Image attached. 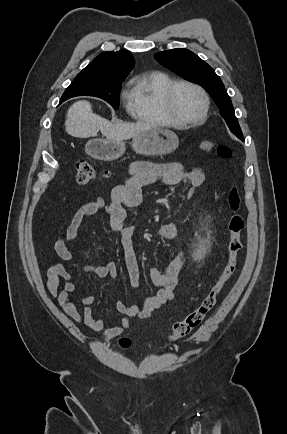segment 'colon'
I'll use <instances>...</instances> for the list:
<instances>
[{
  "mask_svg": "<svg viewBox=\"0 0 287 434\" xmlns=\"http://www.w3.org/2000/svg\"><path fill=\"white\" fill-rule=\"evenodd\" d=\"M200 148L203 152L216 153L221 157H229L231 154L228 147L218 145L210 140L202 141ZM106 173L107 171H102L88 162H78L76 165L75 181L79 185H85L96 179L99 175ZM228 204L230 208L228 226V261L221 275L213 284L207 295L201 300L199 305L189 312L182 320L173 324L172 332L170 334V340L173 342L187 337L202 323L206 315L215 307L218 295L236 271L239 255L243 249L242 233L244 230L241 196L236 187H233L229 192ZM119 344L122 348H129L131 341L130 339L123 337L119 339Z\"/></svg>",
  "mask_w": 287,
  "mask_h": 434,
  "instance_id": "colon-1",
  "label": "colon"
}]
</instances>
